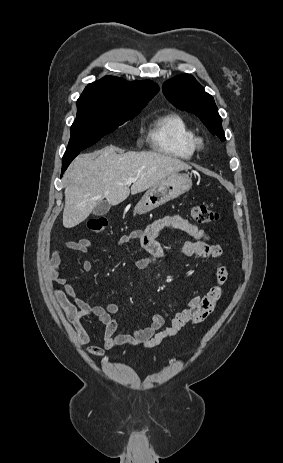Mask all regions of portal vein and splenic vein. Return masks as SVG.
Here are the masks:
<instances>
[{"instance_id":"18ae733b","label":"portal vein and splenic vein","mask_w":283,"mask_h":463,"mask_svg":"<svg viewBox=\"0 0 283 463\" xmlns=\"http://www.w3.org/2000/svg\"><path fill=\"white\" fill-rule=\"evenodd\" d=\"M135 181H136V178H132V177H131V178H128V179H127V183H128V184L133 183V182H135Z\"/></svg>"}]
</instances>
